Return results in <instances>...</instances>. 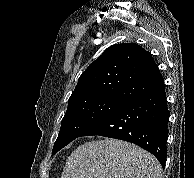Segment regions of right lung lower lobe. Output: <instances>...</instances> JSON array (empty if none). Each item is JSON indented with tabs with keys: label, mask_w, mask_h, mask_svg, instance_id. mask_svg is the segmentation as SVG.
<instances>
[{
	"label": "right lung lower lobe",
	"mask_w": 194,
	"mask_h": 178,
	"mask_svg": "<svg viewBox=\"0 0 194 178\" xmlns=\"http://www.w3.org/2000/svg\"><path fill=\"white\" fill-rule=\"evenodd\" d=\"M169 115L163 86L125 101L81 136L99 135L134 143L165 167Z\"/></svg>",
	"instance_id": "98d812e1"
}]
</instances>
